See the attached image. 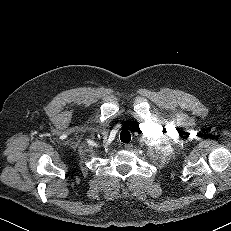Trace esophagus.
Masks as SVG:
<instances>
[{"instance_id":"1","label":"esophagus","mask_w":231,"mask_h":231,"mask_svg":"<svg viewBox=\"0 0 231 231\" xmlns=\"http://www.w3.org/2000/svg\"><path fill=\"white\" fill-rule=\"evenodd\" d=\"M132 147H133V145H132L131 143L125 144V145H124V148H125L126 150H131Z\"/></svg>"}]
</instances>
